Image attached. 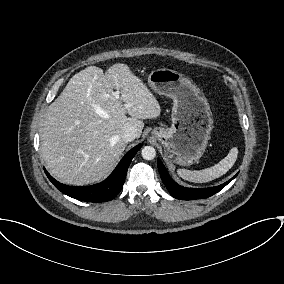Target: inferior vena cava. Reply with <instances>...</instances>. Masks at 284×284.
<instances>
[{
    "label": "inferior vena cava",
    "mask_w": 284,
    "mask_h": 284,
    "mask_svg": "<svg viewBox=\"0 0 284 284\" xmlns=\"http://www.w3.org/2000/svg\"><path fill=\"white\" fill-rule=\"evenodd\" d=\"M136 132L133 128H128L125 130L123 134V139H125L127 142L128 141H133L136 138Z\"/></svg>",
    "instance_id": "602c4592"
}]
</instances>
